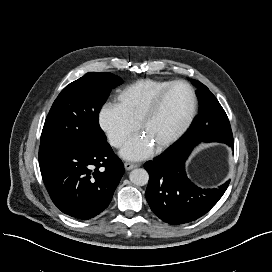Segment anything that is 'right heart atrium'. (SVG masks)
<instances>
[{"mask_svg":"<svg viewBox=\"0 0 272 272\" xmlns=\"http://www.w3.org/2000/svg\"><path fill=\"white\" fill-rule=\"evenodd\" d=\"M98 126L113 147H121L136 132L134 123L118 104L104 103L97 114Z\"/></svg>","mask_w":272,"mask_h":272,"instance_id":"obj_1","label":"right heart atrium"}]
</instances>
